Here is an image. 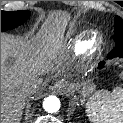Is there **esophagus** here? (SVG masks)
Here are the masks:
<instances>
[{
  "instance_id": "obj_1",
  "label": "esophagus",
  "mask_w": 123,
  "mask_h": 123,
  "mask_svg": "<svg viewBox=\"0 0 123 123\" xmlns=\"http://www.w3.org/2000/svg\"><path fill=\"white\" fill-rule=\"evenodd\" d=\"M52 90H54V91H56L58 93H62L63 92L62 86L59 83H56L54 86H52Z\"/></svg>"
}]
</instances>
